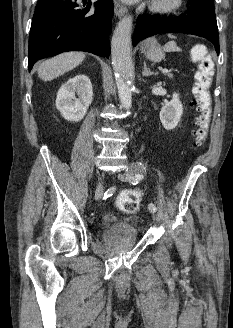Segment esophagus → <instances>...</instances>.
Listing matches in <instances>:
<instances>
[{
	"label": "esophagus",
	"instance_id": "34e87169",
	"mask_svg": "<svg viewBox=\"0 0 233 328\" xmlns=\"http://www.w3.org/2000/svg\"><path fill=\"white\" fill-rule=\"evenodd\" d=\"M114 12L116 16L121 17L127 12V8L118 0H114Z\"/></svg>",
	"mask_w": 233,
	"mask_h": 328
}]
</instances>
